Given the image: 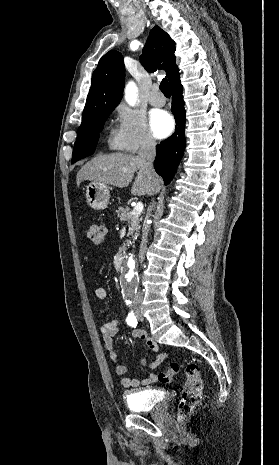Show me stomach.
<instances>
[{
	"instance_id": "obj_1",
	"label": "stomach",
	"mask_w": 279,
	"mask_h": 465,
	"mask_svg": "<svg viewBox=\"0 0 279 465\" xmlns=\"http://www.w3.org/2000/svg\"><path fill=\"white\" fill-rule=\"evenodd\" d=\"M85 196L91 208L94 210H103L108 205L110 190L104 184L91 182L86 186Z\"/></svg>"
}]
</instances>
